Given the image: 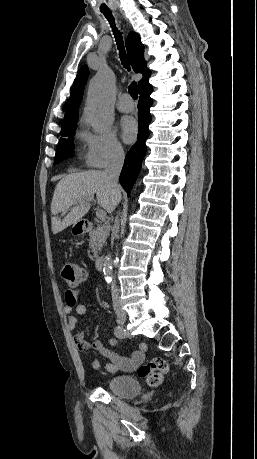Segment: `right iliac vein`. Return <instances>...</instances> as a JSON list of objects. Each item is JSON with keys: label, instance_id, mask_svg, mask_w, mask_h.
<instances>
[{"label": "right iliac vein", "instance_id": "right-iliac-vein-1", "mask_svg": "<svg viewBox=\"0 0 257 459\" xmlns=\"http://www.w3.org/2000/svg\"><path fill=\"white\" fill-rule=\"evenodd\" d=\"M116 314H117L119 323L121 325L125 324V322L127 320L126 313L123 310H121L120 308H118L117 311H116Z\"/></svg>", "mask_w": 257, "mask_h": 459}]
</instances>
